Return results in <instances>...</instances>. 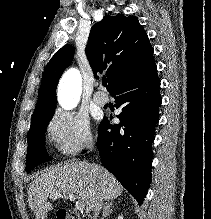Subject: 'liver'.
<instances>
[{
  "label": "liver",
  "mask_w": 211,
  "mask_h": 219,
  "mask_svg": "<svg viewBox=\"0 0 211 219\" xmlns=\"http://www.w3.org/2000/svg\"><path fill=\"white\" fill-rule=\"evenodd\" d=\"M122 185L105 168L85 161L54 166L32 180L28 203L36 219H45L53 208L47 202L51 194H76L86 213L93 210L98 198L110 201L121 195Z\"/></svg>",
  "instance_id": "1"
}]
</instances>
